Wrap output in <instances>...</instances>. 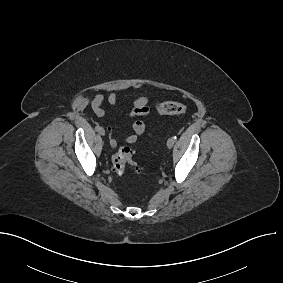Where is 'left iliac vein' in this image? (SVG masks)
I'll return each instance as SVG.
<instances>
[{
  "mask_svg": "<svg viewBox=\"0 0 283 283\" xmlns=\"http://www.w3.org/2000/svg\"><path fill=\"white\" fill-rule=\"evenodd\" d=\"M174 143H175V139H174L173 137L169 138V139L167 140V147H168V148H172L173 145H174Z\"/></svg>",
  "mask_w": 283,
  "mask_h": 283,
  "instance_id": "left-iliac-vein-1",
  "label": "left iliac vein"
}]
</instances>
